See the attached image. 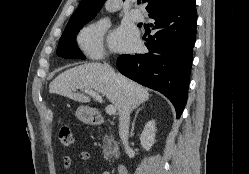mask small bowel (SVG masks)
<instances>
[{
	"label": "small bowel",
	"instance_id": "small-bowel-1",
	"mask_svg": "<svg viewBox=\"0 0 249 174\" xmlns=\"http://www.w3.org/2000/svg\"><path fill=\"white\" fill-rule=\"evenodd\" d=\"M78 157L82 161H88L91 159V155L89 152L82 151L78 154ZM73 156L72 155H65L62 159L63 168L66 172H68L72 166ZM101 174H110L109 171H103Z\"/></svg>",
	"mask_w": 249,
	"mask_h": 174
}]
</instances>
